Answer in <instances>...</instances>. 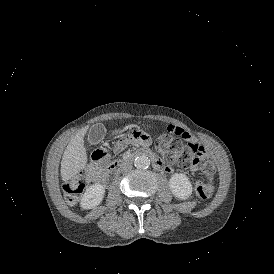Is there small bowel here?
Segmentation results:
<instances>
[{
  "label": "small bowel",
  "mask_w": 274,
  "mask_h": 274,
  "mask_svg": "<svg viewBox=\"0 0 274 274\" xmlns=\"http://www.w3.org/2000/svg\"><path fill=\"white\" fill-rule=\"evenodd\" d=\"M168 132L170 133H177V135L182 136L183 139L188 140L189 144L193 145L195 149V153L192 156H189L191 158V169L193 173L198 174L199 173V166L200 161L202 158H205L204 153V145L201 143L200 139L191 136L190 132L187 131L182 126H179L177 124H170L167 127ZM138 142L144 146L149 147L150 146V140L147 137H139ZM123 148V144H120L116 146L113 149V152H117ZM190 150H193V147H190ZM106 159L105 155L102 154L98 156L96 159L92 160L86 167L85 170V180L88 184H104V178L107 176L109 171L111 170V166H106L104 163V160ZM190 167V166H189ZM216 181V180H215Z\"/></svg>",
  "instance_id": "small-bowel-1"
}]
</instances>
